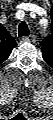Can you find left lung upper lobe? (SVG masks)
<instances>
[{
	"mask_svg": "<svg viewBox=\"0 0 53 120\" xmlns=\"http://www.w3.org/2000/svg\"><path fill=\"white\" fill-rule=\"evenodd\" d=\"M40 45L44 60L51 66L53 64V31L52 35L41 41Z\"/></svg>",
	"mask_w": 53,
	"mask_h": 120,
	"instance_id": "left-lung-upper-lobe-1",
	"label": "left lung upper lobe"
}]
</instances>
